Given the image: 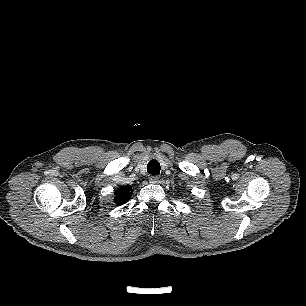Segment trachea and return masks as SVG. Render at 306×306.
Returning <instances> with one entry per match:
<instances>
[{
	"label": "trachea",
	"instance_id": "3493384b",
	"mask_svg": "<svg viewBox=\"0 0 306 306\" xmlns=\"http://www.w3.org/2000/svg\"><path fill=\"white\" fill-rule=\"evenodd\" d=\"M147 172L152 175H158L160 173V163L153 159L147 164Z\"/></svg>",
	"mask_w": 306,
	"mask_h": 306
}]
</instances>
